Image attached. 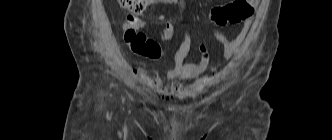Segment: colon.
I'll use <instances>...</instances> for the list:
<instances>
[{"instance_id":"1","label":"colon","mask_w":332,"mask_h":140,"mask_svg":"<svg viewBox=\"0 0 332 140\" xmlns=\"http://www.w3.org/2000/svg\"><path fill=\"white\" fill-rule=\"evenodd\" d=\"M120 6L130 12L123 24V36L125 42L136 54L150 58H158L161 54L159 45L148 39L140 29L144 26L138 18L152 0H118ZM259 3V0H233L230 3L213 7L209 12L210 21L216 26L238 24L250 19ZM178 25L167 22L161 31V35L167 40L172 39L178 32Z\"/></svg>"}]
</instances>
